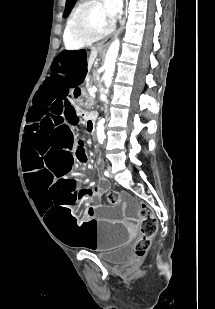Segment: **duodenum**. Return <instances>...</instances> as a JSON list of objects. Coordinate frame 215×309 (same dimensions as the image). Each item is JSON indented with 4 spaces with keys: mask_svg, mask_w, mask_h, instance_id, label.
Here are the masks:
<instances>
[{
    "mask_svg": "<svg viewBox=\"0 0 215 309\" xmlns=\"http://www.w3.org/2000/svg\"><path fill=\"white\" fill-rule=\"evenodd\" d=\"M97 118H98L97 114L89 113L86 116L87 127L90 131H95V125H96Z\"/></svg>",
    "mask_w": 215,
    "mask_h": 309,
    "instance_id": "410a0bca",
    "label": "duodenum"
}]
</instances>
